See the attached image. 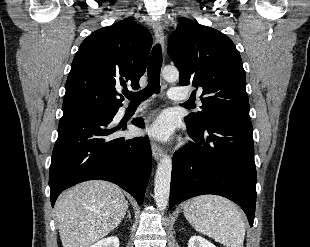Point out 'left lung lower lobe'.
<instances>
[{"label":"left lung lower lobe","mask_w":310,"mask_h":247,"mask_svg":"<svg viewBox=\"0 0 310 247\" xmlns=\"http://www.w3.org/2000/svg\"><path fill=\"white\" fill-rule=\"evenodd\" d=\"M186 124L194 142L173 156L170 208L194 196L216 194L237 203L252 226L256 168L250 121L219 119L200 130Z\"/></svg>","instance_id":"0a47b994"}]
</instances>
